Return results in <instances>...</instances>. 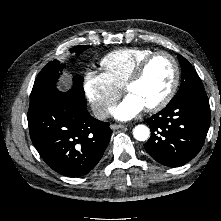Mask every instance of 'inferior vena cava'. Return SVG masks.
Segmentation results:
<instances>
[{
  "instance_id": "1",
  "label": "inferior vena cava",
  "mask_w": 221,
  "mask_h": 221,
  "mask_svg": "<svg viewBox=\"0 0 221 221\" xmlns=\"http://www.w3.org/2000/svg\"><path fill=\"white\" fill-rule=\"evenodd\" d=\"M92 111L94 113L95 118L99 120H104L108 117L107 107L103 104H95L92 106Z\"/></svg>"
}]
</instances>
